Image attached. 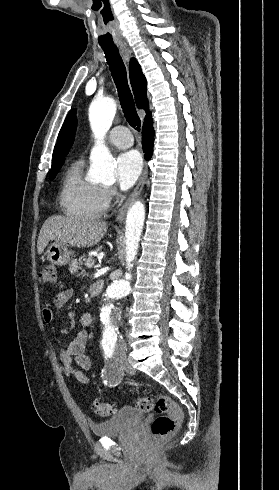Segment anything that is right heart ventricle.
Masks as SVG:
<instances>
[{
    "mask_svg": "<svg viewBox=\"0 0 279 490\" xmlns=\"http://www.w3.org/2000/svg\"><path fill=\"white\" fill-rule=\"evenodd\" d=\"M81 165V161H75L65 171L60 203L68 217L92 220L99 216L96 206L99 187L82 177Z\"/></svg>",
    "mask_w": 279,
    "mask_h": 490,
    "instance_id": "obj_1",
    "label": "right heart ventricle"
}]
</instances>
